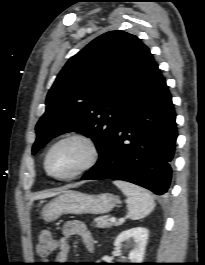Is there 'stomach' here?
<instances>
[{"label": "stomach", "instance_id": "1", "mask_svg": "<svg viewBox=\"0 0 205 265\" xmlns=\"http://www.w3.org/2000/svg\"><path fill=\"white\" fill-rule=\"evenodd\" d=\"M118 203L119 198L110 193L94 195L68 191L47 203L42 209L41 216L46 222H53L63 214H103Z\"/></svg>", "mask_w": 205, "mask_h": 265}]
</instances>
